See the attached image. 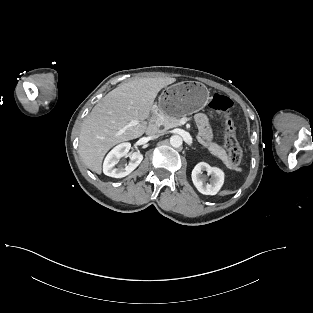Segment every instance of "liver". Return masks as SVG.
Here are the masks:
<instances>
[{"instance_id":"6515ba94","label":"liver","mask_w":313,"mask_h":313,"mask_svg":"<svg viewBox=\"0 0 313 313\" xmlns=\"http://www.w3.org/2000/svg\"><path fill=\"white\" fill-rule=\"evenodd\" d=\"M175 78H140L110 91L84 120L79 153L86 166L101 174L105 154L116 144L142 136L158 92ZM133 120L137 125L129 126ZM123 130L121 134L119 132Z\"/></svg>"}]
</instances>
